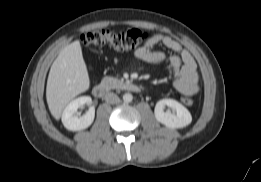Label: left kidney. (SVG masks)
Segmentation results:
<instances>
[{"mask_svg": "<svg viewBox=\"0 0 261 182\" xmlns=\"http://www.w3.org/2000/svg\"><path fill=\"white\" fill-rule=\"evenodd\" d=\"M165 106L171 108L175 113H171L169 110L165 112ZM154 114L158 122L172 129L184 128L192 122L190 112L182 104L173 99L158 101L154 109Z\"/></svg>", "mask_w": 261, "mask_h": 182, "instance_id": "obj_1", "label": "left kidney"}]
</instances>
